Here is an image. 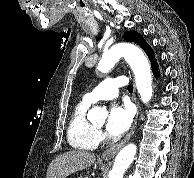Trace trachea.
I'll use <instances>...</instances> for the list:
<instances>
[{
  "label": "trachea",
  "mask_w": 194,
  "mask_h": 178,
  "mask_svg": "<svg viewBox=\"0 0 194 178\" xmlns=\"http://www.w3.org/2000/svg\"><path fill=\"white\" fill-rule=\"evenodd\" d=\"M127 89H128L129 92H133V85H131V84L128 85Z\"/></svg>",
  "instance_id": "1"
}]
</instances>
